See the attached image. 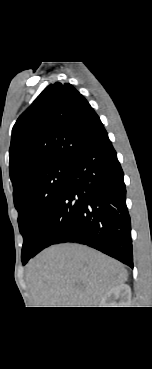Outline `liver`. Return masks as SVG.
<instances>
[{
	"mask_svg": "<svg viewBox=\"0 0 152 369\" xmlns=\"http://www.w3.org/2000/svg\"><path fill=\"white\" fill-rule=\"evenodd\" d=\"M127 279L121 263L79 244L51 246L27 266L34 307H97Z\"/></svg>",
	"mask_w": 152,
	"mask_h": 369,
	"instance_id": "1",
	"label": "liver"
}]
</instances>
